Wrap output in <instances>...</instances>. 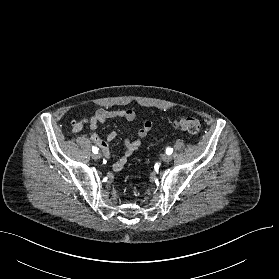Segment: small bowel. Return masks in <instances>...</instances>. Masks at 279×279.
Masks as SVG:
<instances>
[{
	"instance_id": "obj_1",
	"label": "small bowel",
	"mask_w": 279,
	"mask_h": 279,
	"mask_svg": "<svg viewBox=\"0 0 279 279\" xmlns=\"http://www.w3.org/2000/svg\"><path fill=\"white\" fill-rule=\"evenodd\" d=\"M136 118V114L131 109H97L89 118H84L81 122L73 124V131L80 132L83 129L84 124H88L90 128L89 137L91 141L96 144L107 157H111L110 143L115 140L117 134L115 131H110L106 139H102L96 132L98 123L106 122L112 119H125L127 121H133ZM153 126V120L148 118L142 122V125L138 129L137 137L134 139H127L124 142V154L117 160L112 168L118 172L123 169L128 158L137 151L143 144L144 139L147 137Z\"/></svg>"
}]
</instances>
